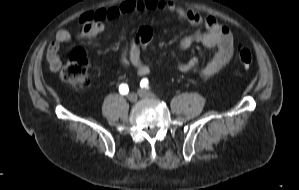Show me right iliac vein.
<instances>
[{"instance_id": "1", "label": "right iliac vein", "mask_w": 299, "mask_h": 190, "mask_svg": "<svg viewBox=\"0 0 299 190\" xmlns=\"http://www.w3.org/2000/svg\"><path fill=\"white\" fill-rule=\"evenodd\" d=\"M128 100H129L130 102H136V101H137V94H135V93H130V94L128 95Z\"/></svg>"}]
</instances>
